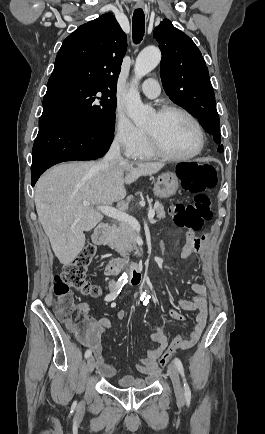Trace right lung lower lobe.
Segmentation results:
<instances>
[{"instance_id":"obj_1","label":"right lung lower lobe","mask_w":265,"mask_h":434,"mask_svg":"<svg viewBox=\"0 0 265 434\" xmlns=\"http://www.w3.org/2000/svg\"><path fill=\"white\" fill-rule=\"evenodd\" d=\"M113 137L112 132L83 126L61 111L43 110L32 150V186L44 171L57 163L102 157Z\"/></svg>"}]
</instances>
